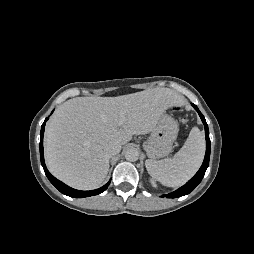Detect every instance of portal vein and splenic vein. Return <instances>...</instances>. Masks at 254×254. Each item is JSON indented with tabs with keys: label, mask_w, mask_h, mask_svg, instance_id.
Listing matches in <instances>:
<instances>
[{
	"label": "portal vein and splenic vein",
	"mask_w": 254,
	"mask_h": 254,
	"mask_svg": "<svg viewBox=\"0 0 254 254\" xmlns=\"http://www.w3.org/2000/svg\"><path fill=\"white\" fill-rule=\"evenodd\" d=\"M125 121V116H124V113H120V119H119V125H122Z\"/></svg>",
	"instance_id": "18ae733b"
}]
</instances>
